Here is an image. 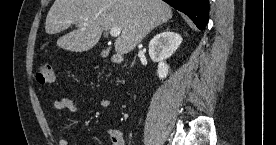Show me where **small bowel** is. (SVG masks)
<instances>
[{
    "mask_svg": "<svg viewBox=\"0 0 276 145\" xmlns=\"http://www.w3.org/2000/svg\"><path fill=\"white\" fill-rule=\"evenodd\" d=\"M98 103L102 107H107L109 105L108 99L100 97ZM77 110L79 109V104L66 97H59L53 103L54 112H61L63 110ZM107 135L111 141L112 145H125L124 134L120 128H113L107 130ZM58 145H69V142L65 138L58 139Z\"/></svg>",
    "mask_w": 276,
    "mask_h": 145,
    "instance_id": "small-bowel-1",
    "label": "small bowel"
}]
</instances>
